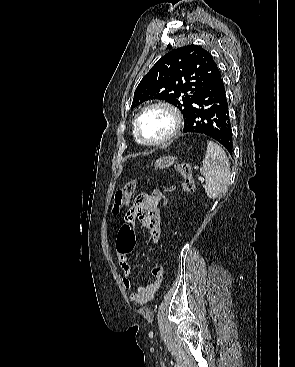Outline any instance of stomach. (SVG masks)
<instances>
[{
	"instance_id": "0dacf381",
	"label": "stomach",
	"mask_w": 295,
	"mask_h": 367,
	"mask_svg": "<svg viewBox=\"0 0 295 367\" xmlns=\"http://www.w3.org/2000/svg\"><path fill=\"white\" fill-rule=\"evenodd\" d=\"M175 161V158L173 156H165L162 158H159L155 162V167L159 169H164L170 167Z\"/></svg>"
}]
</instances>
